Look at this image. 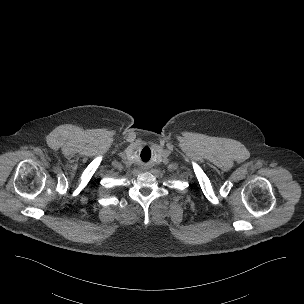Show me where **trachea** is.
<instances>
[{"instance_id": "obj_1", "label": "trachea", "mask_w": 304, "mask_h": 304, "mask_svg": "<svg viewBox=\"0 0 304 304\" xmlns=\"http://www.w3.org/2000/svg\"><path fill=\"white\" fill-rule=\"evenodd\" d=\"M153 157V150L150 147H143L139 153V160L147 163Z\"/></svg>"}]
</instances>
